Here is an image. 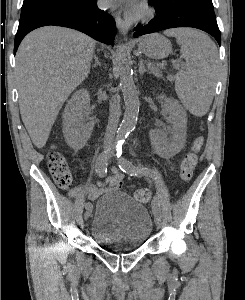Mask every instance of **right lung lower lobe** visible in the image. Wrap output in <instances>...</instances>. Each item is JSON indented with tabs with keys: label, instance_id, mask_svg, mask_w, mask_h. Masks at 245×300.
<instances>
[{
	"label": "right lung lower lobe",
	"instance_id": "98d812e1",
	"mask_svg": "<svg viewBox=\"0 0 245 300\" xmlns=\"http://www.w3.org/2000/svg\"><path fill=\"white\" fill-rule=\"evenodd\" d=\"M97 0L82 10H65L19 24L14 44V53L30 31L47 25L63 26L81 31L107 45H114L116 24L112 16L100 10Z\"/></svg>",
	"mask_w": 245,
	"mask_h": 300
}]
</instances>
